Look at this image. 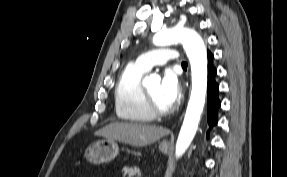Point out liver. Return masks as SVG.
Returning a JSON list of instances; mask_svg holds the SVG:
<instances>
[{"label":"liver","instance_id":"obj_1","mask_svg":"<svg viewBox=\"0 0 287 177\" xmlns=\"http://www.w3.org/2000/svg\"><path fill=\"white\" fill-rule=\"evenodd\" d=\"M163 127L140 123L114 122L98 130L95 135L135 147H144L168 134Z\"/></svg>","mask_w":287,"mask_h":177}]
</instances>
